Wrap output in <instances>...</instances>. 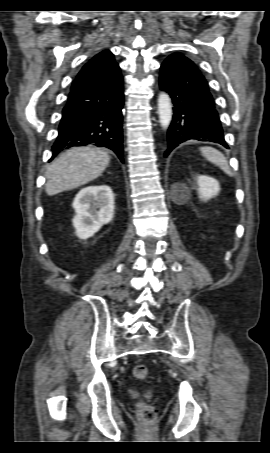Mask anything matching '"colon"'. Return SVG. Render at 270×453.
Here are the masks:
<instances>
[{
	"instance_id": "5ec220e1",
	"label": "colon",
	"mask_w": 270,
	"mask_h": 453,
	"mask_svg": "<svg viewBox=\"0 0 270 453\" xmlns=\"http://www.w3.org/2000/svg\"><path fill=\"white\" fill-rule=\"evenodd\" d=\"M133 374L138 380H147L150 377V370L144 364H138L133 369ZM150 395L147 394V398ZM139 418L145 423H152L155 419V410L147 401H141L138 404Z\"/></svg>"
}]
</instances>
